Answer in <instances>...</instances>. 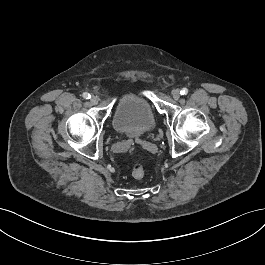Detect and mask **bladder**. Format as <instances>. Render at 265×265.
I'll list each match as a JSON object with an SVG mask.
<instances>
[{
    "instance_id": "bladder-1",
    "label": "bladder",
    "mask_w": 265,
    "mask_h": 265,
    "mask_svg": "<svg viewBox=\"0 0 265 265\" xmlns=\"http://www.w3.org/2000/svg\"><path fill=\"white\" fill-rule=\"evenodd\" d=\"M113 127L118 133L129 137L150 132L155 127V115L151 105L136 93L123 94L115 108Z\"/></svg>"
}]
</instances>
